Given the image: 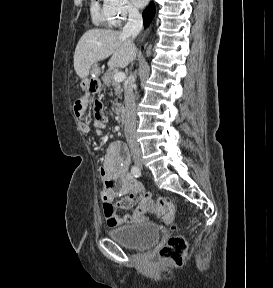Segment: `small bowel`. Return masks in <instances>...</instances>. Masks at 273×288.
Returning a JSON list of instances; mask_svg holds the SVG:
<instances>
[{
  "instance_id": "1",
  "label": "small bowel",
  "mask_w": 273,
  "mask_h": 288,
  "mask_svg": "<svg viewBox=\"0 0 273 288\" xmlns=\"http://www.w3.org/2000/svg\"><path fill=\"white\" fill-rule=\"evenodd\" d=\"M94 114V122H82L81 131L89 134L93 127L103 128L106 123L103 111ZM129 153L127 147L120 141H109L105 146L103 165L100 177L104 182L101 191L103 211L110 227L139 223L145 220L148 211L145 203L151 200V194L146 192L141 183L129 173ZM138 204L137 207H135ZM135 207V208H134ZM131 213L118 215L117 210H130Z\"/></svg>"
}]
</instances>
